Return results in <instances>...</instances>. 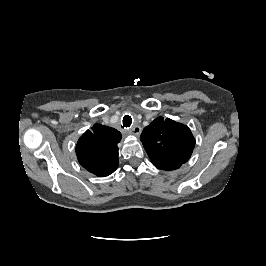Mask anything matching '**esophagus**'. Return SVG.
<instances>
[{"mask_svg":"<svg viewBox=\"0 0 266 266\" xmlns=\"http://www.w3.org/2000/svg\"><path fill=\"white\" fill-rule=\"evenodd\" d=\"M130 132L136 136H139L141 133V127L138 125H135L134 127H132V129L130 130Z\"/></svg>","mask_w":266,"mask_h":266,"instance_id":"esophagus-1","label":"esophagus"}]
</instances>
